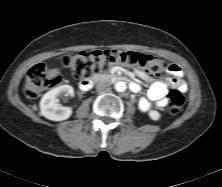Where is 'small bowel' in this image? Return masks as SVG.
<instances>
[{
    "mask_svg": "<svg viewBox=\"0 0 222 187\" xmlns=\"http://www.w3.org/2000/svg\"><path fill=\"white\" fill-rule=\"evenodd\" d=\"M167 71L171 76L174 77V78L169 79L168 82L170 84L179 87L181 90L187 89V85L184 81H180L175 78V77L182 76L183 71H182L181 67H179L176 64H170V65H168ZM138 75L142 79L151 83V85L147 91V96L140 100L141 109H143L144 111L151 109L152 102H155L156 106L159 108L165 107L167 104V100H166V94L168 91L167 83L161 82V81H156L152 77L147 76L143 72H138ZM136 89H138V88L136 87Z\"/></svg>",
    "mask_w": 222,
    "mask_h": 187,
    "instance_id": "small-bowel-1",
    "label": "small bowel"
}]
</instances>
